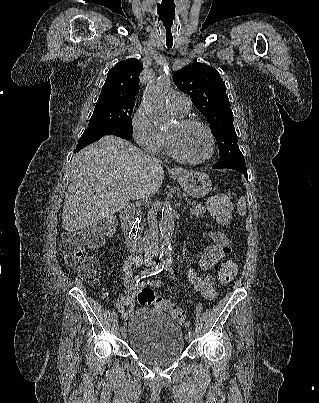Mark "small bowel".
<instances>
[{
	"instance_id": "c3829d8e",
	"label": "small bowel",
	"mask_w": 319,
	"mask_h": 403,
	"mask_svg": "<svg viewBox=\"0 0 319 403\" xmlns=\"http://www.w3.org/2000/svg\"><path fill=\"white\" fill-rule=\"evenodd\" d=\"M208 236L213 240V243L206 247L204 253L202 254L199 264L203 271L206 272L205 276L201 279L195 270L192 267L188 269V276L190 282L194 285L196 291H198L205 299L214 300L216 298V291L213 287L215 282V277L210 270L218 264L223 258L228 256L231 252V243L229 239L222 233L219 232H210ZM140 263V259L137 256H132L124 263V271H125V279L124 285L126 288L125 293L119 299V301L115 304L117 310L121 313V316L124 320H126L130 314V308L133 305L134 297L131 293L132 290V267L134 265H138ZM144 286L151 287H161L163 286V282L156 281H147L140 284L134 290V294L138 293V291Z\"/></svg>"
}]
</instances>
